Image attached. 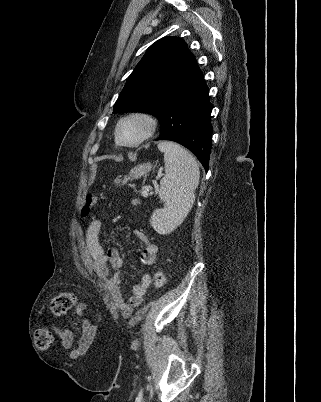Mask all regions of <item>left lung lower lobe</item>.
<instances>
[{
    "label": "left lung lower lobe",
    "instance_id": "obj_1",
    "mask_svg": "<svg viewBox=\"0 0 321 402\" xmlns=\"http://www.w3.org/2000/svg\"><path fill=\"white\" fill-rule=\"evenodd\" d=\"M208 87L197 66L166 97L160 110V140L188 148L208 171L211 152V110Z\"/></svg>",
    "mask_w": 321,
    "mask_h": 402
}]
</instances>
